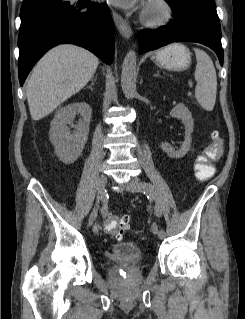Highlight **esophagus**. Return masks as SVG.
<instances>
[{
  "label": "esophagus",
  "mask_w": 245,
  "mask_h": 319,
  "mask_svg": "<svg viewBox=\"0 0 245 319\" xmlns=\"http://www.w3.org/2000/svg\"><path fill=\"white\" fill-rule=\"evenodd\" d=\"M112 16L114 23L121 35L126 39H130L132 36V29L129 23L114 10H112Z\"/></svg>",
  "instance_id": "esophagus-1"
}]
</instances>
